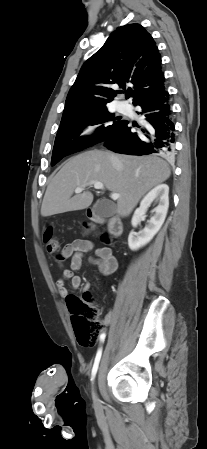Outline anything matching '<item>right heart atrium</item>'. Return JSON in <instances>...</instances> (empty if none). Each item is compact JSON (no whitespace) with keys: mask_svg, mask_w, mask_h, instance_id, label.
Wrapping results in <instances>:
<instances>
[{"mask_svg":"<svg viewBox=\"0 0 207 449\" xmlns=\"http://www.w3.org/2000/svg\"><path fill=\"white\" fill-rule=\"evenodd\" d=\"M94 129L95 127L93 125H86L82 130V134L88 136L93 133Z\"/></svg>","mask_w":207,"mask_h":449,"instance_id":"obj_1","label":"right heart atrium"}]
</instances>
